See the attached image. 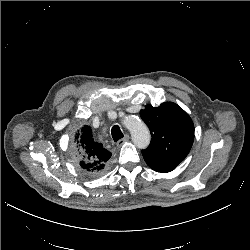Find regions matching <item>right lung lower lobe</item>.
Returning <instances> with one entry per match:
<instances>
[{"instance_id":"obj_1","label":"right lung lower lobe","mask_w":250,"mask_h":250,"mask_svg":"<svg viewBox=\"0 0 250 250\" xmlns=\"http://www.w3.org/2000/svg\"><path fill=\"white\" fill-rule=\"evenodd\" d=\"M81 167V166H80ZM81 169H82V171L86 174V175H88V176H90V177H99V176H101L102 174H104L105 173V171H106V168L105 169H102V170H93V169H87V168H83V167H81Z\"/></svg>"}]
</instances>
